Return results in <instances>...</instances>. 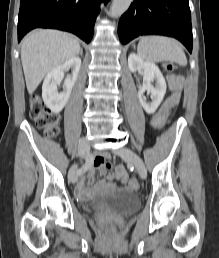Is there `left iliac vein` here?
Instances as JSON below:
<instances>
[{
    "mask_svg": "<svg viewBox=\"0 0 219 258\" xmlns=\"http://www.w3.org/2000/svg\"><path fill=\"white\" fill-rule=\"evenodd\" d=\"M116 153L122 158L127 159L132 165L135 166L138 174L141 178H145L147 171L143 160L131 149L122 147L116 151Z\"/></svg>",
    "mask_w": 219,
    "mask_h": 258,
    "instance_id": "obj_1",
    "label": "left iliac vein"
}]
</instances>
